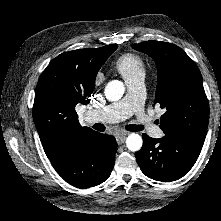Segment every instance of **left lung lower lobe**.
Masks as SVG:
<instances>
[{
	"instance_id": "obj_1",
	"label": "left lung lower lobe",
	"mask_w": 221,
	"mask_h": 221,
	"mask_svg": "<svg viewBox=\"0 0 221 221\" xmlns=\"http://www.w3.org/2000/svg\"><path fill=\"white\" fill-rule=\"evenodd\" d=\"M143 146L135 153L142 172L149 178L171 182L183 177L195 164L202 147L165 134L154 139L143 134Z\"/></svg>"
}]
</instances>
